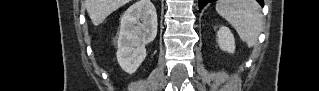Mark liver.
Returning <instances> with one entry per match:
<instances>
[{"label": "liver", "mask_w": 319, "mask_h": 91, "mask_svg": "<svg viewBox=\"0 0 319 91\" xmlns=\"http://www.w3.org/2000/svg\"><path fill=\"white\" fill-rule=\"evenodd\" d=\"M130 0H85L87 13L95 26L100 25L111 13Z\"/></svg>", "instance_id": "1"}]
</instances>
